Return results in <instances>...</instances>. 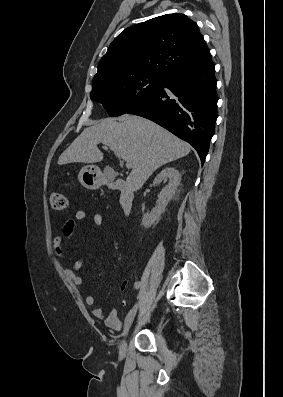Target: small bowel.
Wrapping results in <instances>:
<instances>
[{
  "mask_svg": "<svg viewBox=\"0 0 283 397\" xmlns=\"http://www.w3.org/2000/svg\"><path fill=\"white\" fill-rule=\"evenodd\" d=\"M91 216L92 221L95 226L100 227L103 225V216L99 213H90L87 210H78L74 218H69L65 221L63 226V234L60 236H56L53 240V248L57 257L61 258L64 253V243L69 240L76 229V225L78 221H83L86 218ZM84 262L82 260H77L74 262L71 268L66 269L67 277L77 286H81L84 284V278L78 272L83 268ZM126 282L122 290L125 287ZM85 302L89 307H92V314L104 320V323L107 327L119 331L122 328V323L117 316V312L115 309H111L108 312H105L102 308L96 306V299L92 295H88L85 298Z\"/></svg>",
  "mask_w": 283,
  "mask_h": 397,
  "instance_id": "obj_1",
  "label": "small bowel"
}]
</instances>
